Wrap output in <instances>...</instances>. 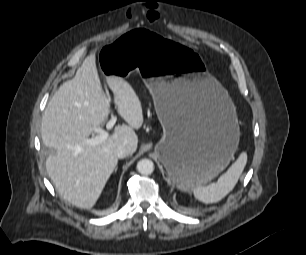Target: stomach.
Here are the masks:
<instances>
[{
    "label": "stomach",
    "instance_id": "0dacf381",
    "mask_svg": "<svg viewBox=\"0 0 306 255\" xmlns=\"http://www.w3.org/2000/svg\"><path fill=\"white\" fill-rule=\"evenodd\" d=\"M100 59L108 76L143 77L163 127L155 153L177 188L206 185L228 165L239 143L236 109L195 50L137 26L104 46Z\"/></svg>",
    "mask_w": 306,
    "mask_h": 255
}]
</instances>
